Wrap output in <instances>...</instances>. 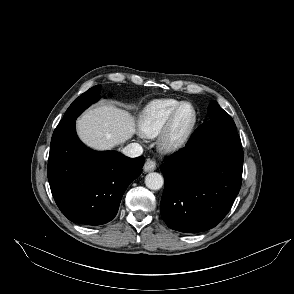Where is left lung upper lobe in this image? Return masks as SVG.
I'll return each mask as SVG.
<instances>
[{"instance_id": "5c2ea615", "label": "left lung upper lobe", "mask_w": 294, "mask_h": 294, "mask_svg": "<svg viewBox=\"0 0 294 294\" xmlns=\"http://www.w3.org/2000/svg\"><path fill=\"white\" fill-rule=\"evenodd\" d=\"M208 116L210 120H232L216 101H212L208 107Z\"/></svg>"}]
</instances>
